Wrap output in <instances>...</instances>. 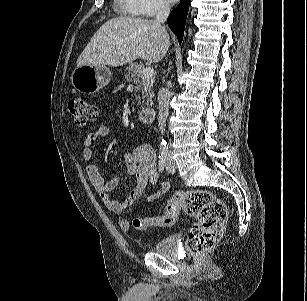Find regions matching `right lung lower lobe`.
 <instances>
[{
	"mask_svg": "<svg viewBox=\"0 0 307 301\" xmlns=\"http://www.w3.org/2000/svg\"><path fill=\"white\" fill-rule=\"evenodd\" d=\"M190 1L191 0H181L180 4L171 12L167 19L168 26L177 36L180 44L184 35L185 22Z\"/></svg>",
	"mask_w": 307,
	"mask_h": 301,
	"instance_id": "right-lung-lower-lobe-1",
	"label": "right lung lower lobe"
}]
</instances>
